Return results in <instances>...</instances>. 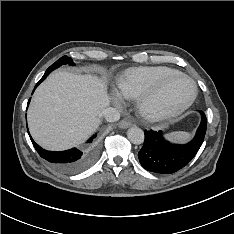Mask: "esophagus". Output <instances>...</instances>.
<instances>
[{
  "mask_svg": "<svg viewBox=\"0 0 234 234\" xmlns=\"http://www.w3.org/2000/svg\"><path fill=\"white\" fill-rule=\"evenodd\" d=\"M132 125V121L130 119H123L118 123V127L121 129H126Z\"/></svg>",
  "mask_w": 234,
  "mask_h": 234,
  "instance_id": "esophagus-1",
  "label": "esophagus"
}]
</instances>
